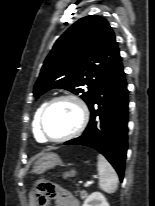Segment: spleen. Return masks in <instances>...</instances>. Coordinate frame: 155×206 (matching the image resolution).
I'll use <instances>...</instances> for the list:
<instances>
[{"instance_id": "1", "label": "spleen", "mask_w": 155, "mask_h": 206, "mask_svg": "<svg viewBox=\"0 0 155 206\" xmlns=\"http://www.w3.org/2000/svg\"><path fill=\"white\" fill-rule=\"evenodd\" d=\"M99 188L106 193H114L118 187V176L103 155H98Z\"/></svg>"}]
</instances>
